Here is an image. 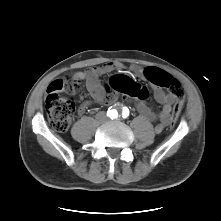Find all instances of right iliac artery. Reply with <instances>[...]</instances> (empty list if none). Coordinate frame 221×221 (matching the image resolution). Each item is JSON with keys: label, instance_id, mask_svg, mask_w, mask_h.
<instances>
[{"label": "right iliac artery", "instance_id": "82829eb1", "mask_svg": "<svg viewBox=\"0 0 221 221\" xmlns=\"http://www.w3.org/2000/svg\"><path fill=\"white\" fill-rule=\"evenodd\" d=\"M110 110V109H109ZM108 110V112H107V115H109L110 116V118H115V117H117V111L116 110H111V111H109Z\"/></svg>", "mask_w": 221, "mask_h": 221}]
</instances>
